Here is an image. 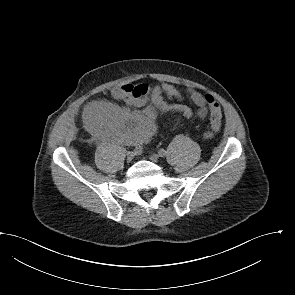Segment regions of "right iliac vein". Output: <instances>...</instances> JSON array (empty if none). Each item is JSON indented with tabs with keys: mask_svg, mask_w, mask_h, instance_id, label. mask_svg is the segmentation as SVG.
<instances>
[{
	"mask_svg": "<svg viewBox=\"0 0 295 295\" xmlns=\"http://www.w3.org/2000/svg\"><path fill=\"white\" fill-rule=\"evenodd\" d=\"M134 156H135V153L134 152H127V161L128 162H130V161H132L133 160V158H134Z\"/></svg>",
	"mask_w": 295,
	"mask_h": 295,
	"instance_id": "obj_1",
	"label": "right iliac vein"
}]
</instances>
